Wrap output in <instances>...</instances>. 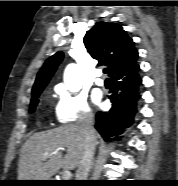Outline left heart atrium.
Instances as JSON below:
<instances>
[{
	"instance_id": "obj_1",
	"label": "left heart atrium",
	"mask_w": 178,
	"mask_h": 186,
	"mask_svg": "<svg viewBox=\"0 0 178 186\" xmlns=\"http://www.w3.org/2000/svg\"><path fill=\"white\" fill-rule=\"evenodd\" d=\"M99 99H100V97L97 95L94 97L95 102H99Z\"/></svg>"
}]
</instances>
